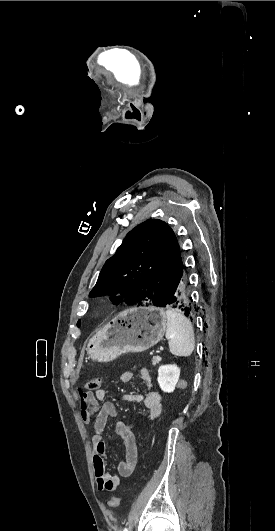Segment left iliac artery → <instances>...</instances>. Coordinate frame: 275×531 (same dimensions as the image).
Returning a JSON list of instances; mask_svg holds the SVG:
<instances>
[{"instance_id":"left-iliac-artery-1","label":"left iliac artery","mask_w":275,"mask_h":531,"mask_svg":"<svg viewBox=\"0 0 275 531\" xmlns=\"http://www.w3.org/2000/svg\"><path fill=\"white\" fill-rule=\"evenodd\" d=\"M123 531H128V529H127V528H124V530H123Z\"/></svg>"}]
</instances>
